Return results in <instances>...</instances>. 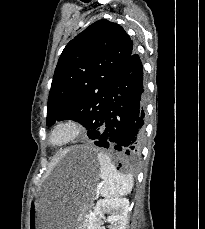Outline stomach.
<instances>
[{
	"label": "stomach",
	"instance_id": "0dacf381",
	"mask_svg": "<svg viewBox=\"0 0 205 229\" xmlns=\"http://www.w3.org/2000/svg\"><path fill=\"white\" fill-rule=\"evenodd\" d=\"M78 154L82 172L83 191L74 205L66 195L37 197L28 212V229H82V220L94 197V185L99 176V161L95 150L75 147L65 154Z\"/></svg>",
	"mask_w": 205,
	"mask_h": 229
}]
</instances>
